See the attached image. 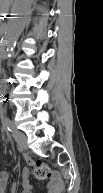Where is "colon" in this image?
<instances>
[{
	"label": "colon",
	"mask_w": 103,
	"mask_h": 193,
	"mask_svg": "<svg viewBox=\"0 0 103 193\" xmlns=\"http://www.w3.org/2000/svg\"><path fill=\"white\" fill-rule=\"evenodd\" d=\"M33 175L38 180H47L53 177L54 173L45 163L41 161H31Z\"/></svg>",
	"instance_id": "colon-1"
}]
</instances>
